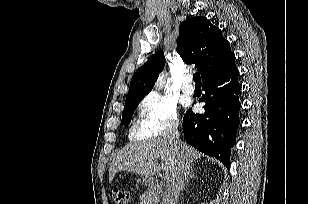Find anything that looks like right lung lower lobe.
Here are the masks:
<instances>
[{
    "mask_svg": "<svg viewBox=\"0 0 309 204\" xmlns=\"http://www.w3.org/2000/svg\"><path fill=\"white\" fill-rule=\"evenodd\" d=\"M239 71L232 66L225 72L203 82L204 114L188 110L183 118L185 140L206 155L215 157L230 167V148L236 144V131L240 124Z\"/></svg>",
    "mask_w": 309,
    "mask_h": 204,
    "instance_id": "98d812e1",
    "label": "right lung lower lobe"
}]
</instances>
